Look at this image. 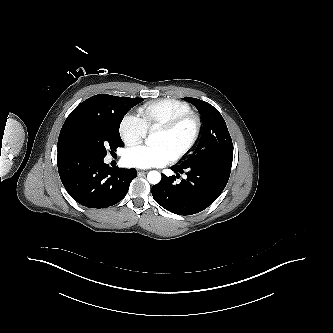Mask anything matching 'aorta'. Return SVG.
Masks as SVG:
<instances>
[{"label":"aorta","instance_id":"obj_1","mask_svg":"<svg viewBox=\"0 0 333 333\" xmlns=\"http://www.w3.org/2000/svg\"><path fill=\"white\" fill-rule=\"evenodd\" d=\"M147 143L149 145L155 144V134H150L147 138ZM147 180L150 184H158L161 180V174L158 171H150L147 174Z\"/></svg>","mask_w":333,"mask_h":333}]
</instances>
